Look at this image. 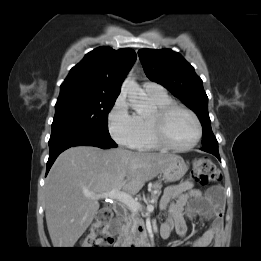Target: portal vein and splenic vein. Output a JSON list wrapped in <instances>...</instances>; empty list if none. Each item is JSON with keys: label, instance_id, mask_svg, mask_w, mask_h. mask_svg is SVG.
Returning a JSON list of instances; mask_svg holds the SVG:
<instances>
[{"label": "portal vein and splenic vein", "instance_id": "portal-vein-and-splenic-vein-1", "mask_svg": "<svg viewBox=\"0 0 261 261\" xmlns=\"http://www.w3.org/2000/svg\"><path fill=\"white\" fill-rule=\"evenodd\" d=\"M87 196L91 197V198H96V199L117 200V201L125 204L130 210L135 211V212L142 209V205L137 200H135L131 195H129L125 192H122L117 188L112 189L109 192L101 193V194H98V195L88 194ZM153 210H154L153 205L147 206L148 212H152Z\"/></svg>", "mask_w": 261, "mask_h": 261}]
</instances>
